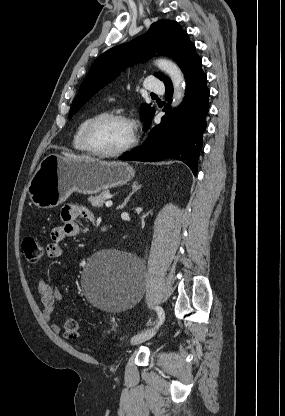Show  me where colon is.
Masks as SVG:
<instances>
[{"label":"colon","mask_w":285,"mask_h":416,"mask_svg":"<svg viewBox=\"0 0 285 416\" xmlns=\"http://www.w3.org/2000/svg\"><path fill=\"white\" fill-rule=\"evenodd\" d=\"M22 250L26 261L36 265L43 256V248L34 237H26L22 242ZM67 338L77 341L81 338L79 323L75 319H68L64 324Z\"/></svg>","instance_id":"5ec220e1"}]
</instances>
